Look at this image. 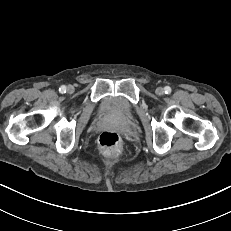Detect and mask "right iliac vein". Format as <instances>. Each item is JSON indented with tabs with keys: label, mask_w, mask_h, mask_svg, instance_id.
Listing matches in <instances>:
<instances>
[{
	"label": "right iliac vein",
	"mask_w": 231,
	"mask_h": 231,
	"mask_svg": "<svg viewBox=\"0 0 231 231\" xmlns=\"http://www.w3.org/2000/svg\"><path fill=\"white\" fill-rule=\"evenodd\" d=\"M67 92H68V93H73V92H74V87H73L72 85H69V86L67 87Z\"/></svg>",
	"instance_id": "1"
}]
</instances>
